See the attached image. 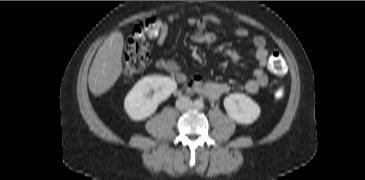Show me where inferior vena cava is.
Instances as JSON below:
<instances>
[{"label": "inferior vena cava", "mask_w": 365, "mask_h": 180, "mask_svg": "<svg viewBox=\"0 0 365 180\" xmlns=\"http://www.w3.org/2000/svg\"><path fill=\"white\" fill-rule=\"evenodd\" d=\"M193 103L189 97L182 96L176 101V108L178 110H187L192 107Z\"/></svg>", "instance_id": "602c4592"}]
</instances>
